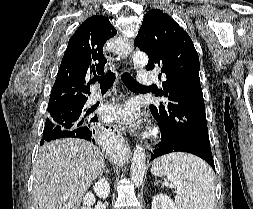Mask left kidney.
Instances as JSON below:
<instances>
[{
	"mask_svg": "<svg viewBox=\"0 0 253 209\" xmlns=\"http://www.w3.org/2000/svg\"><path fill=\"white\" fill-rule=\"evenodd\" d=\"M152 209H178V207L169 196L159 194L152 200Z\"/></svg>",
	"mask_w": 253,
	"mask_h": 209,
	"instance_id": "obj_1",
	"label": "left kidney"
}]
</instances>
